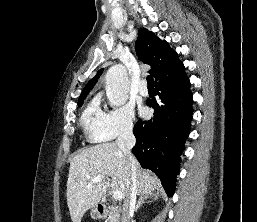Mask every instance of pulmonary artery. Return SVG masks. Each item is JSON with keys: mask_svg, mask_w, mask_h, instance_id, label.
<instances>
[{"mask_svg": "<svg viewBox=\"0 0 257 222\" xmlns=\"http://www.w3.org/2000/svg\"><path fill=\"white\" fill-rule=\"evenodd\" d=\"M138 91L142 96L148 95V88L145 81H141L138 85Z\"/></svg>", "mask_w": 257, "mask_h": 222, "instance_id": "pulmonary-artery-1", "label": "pulmonary artery"}]
</instances>
